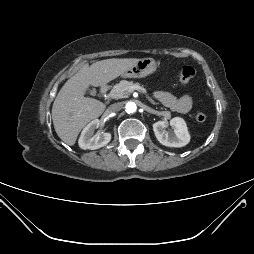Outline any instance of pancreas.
<instances>
[{"label":"pancreas","mask_w":254,"mask_h":254,"mask_svg":"<svg viewBox=\"0 0 254 254\" xmlns=\"http://www.w3.org/2000/svg\"><path fill=\"white\" fill-rule=\"evenodd\" d=\"M135 86H140V84L134 83L133 81L122 80L114 85L109 93V97L112 99L127 98L132 91L131 88Z\"/></svg>","instance_id":"cf45deb5"}]
</instances>
